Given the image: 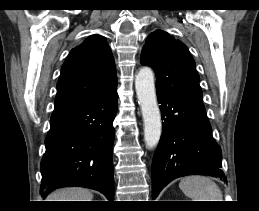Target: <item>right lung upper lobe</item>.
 Here are the masks:
<instances>
[{
    "instance_id": "obj_1",
    "label": "right lung upper lobe",
    "mask_w": 259,
    "mask_h": 211,
    "mask_svg": "<svg viewBox=\"0 0 259 211\" xmlns=\"http://www.w3.org/2000/svg\"><path fill=\"white\" fill-rule=\"evenodd\" d=\"M114 59L106 39L89 36L72 49L57 83L54 110L91 102L116 90Z\"/></svg>"
}]
</instances>
